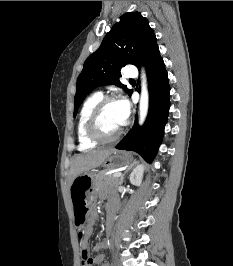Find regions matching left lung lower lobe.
<instances>
[{
    "mask_svg": "<svg viewBox=\"0 0 233 266\" xmlns=\"http://www.w3.org/2000/svg\"><path fill=\"white\" fill-rule=\"evenodd\" d=\"M143 64L146 67L150 93L148 115L144 125H135L116 148L135 151L151 163L162 142L167 123L170 86L158 46L146 56Z\"/></svg>",
    "mask_w": 233,
    "mask_h": 266,
    "instance_id": "0a47b994",
    "label": "left lung lower lobe"
}]
</instances>
